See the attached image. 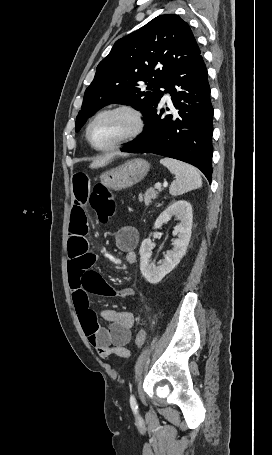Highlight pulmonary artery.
<instances>
[{"instance_id": "pulmonary-artery-1", "label": "pulmonary artery", "mask_w": 272, "mask_h": 455, "mask_svg": "<svg viewBox=\"0 0 272 455\" xmlns=\"http://www.w3.org/2000/svg\"><path fill=\"white\" fill-rule=\"evenodd\" d=\"M165 99H166V100H170L169 93H167V94L165 95Z\"/></svg>"}]
</instances>
